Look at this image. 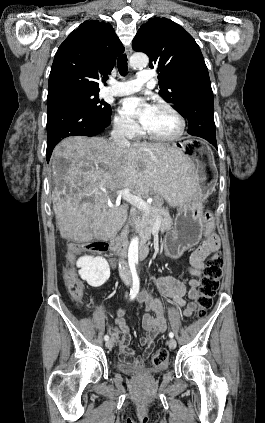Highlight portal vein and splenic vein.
Listing matches in <instances>:
<instances>
[{
    "instance_id": "obj_1",
    "label": "portal vein and splenic vein",
    "mask_w": 265,
    "mask_h": 423,
    "mask_svg": "<svg viewBox=\"0 0 265 423\" xmlns=\"http://www.w3.org/2000/svg\"><path fill=\"white\" fill-rule=\"evenodd\" d=\"M116 196L117 199L122 198L142 211L149 212L151 210H154V207H152L149 203L144 201L139 196L133 195L130 192L129 188H124L123 190L116 192Z\"/></svg>"
}]
</instances>
